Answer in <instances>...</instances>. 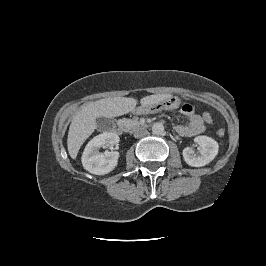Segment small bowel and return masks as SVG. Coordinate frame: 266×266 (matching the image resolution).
Segmentation results:
<instances>
[{
	"label": "small bowel",
	"instance_id": "obj_1",
	"mask_svg": "<svg viewBox=\"0 0 266 266\" xmlns=\"http://www.w3.org/2000/svg\"><path fill=\"white\" fill-rule=\"evenodd\" d=\"M180 112L188 119L186 125H176L175 131L185 137H193L204 131L203 119L195 111L192 104L186 103L181 106Z\"/></svg>",
	"mask_w": 266,
	"mask_h": 266
}]
</instances>
